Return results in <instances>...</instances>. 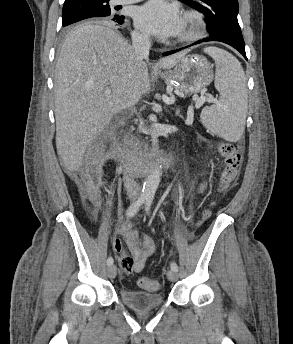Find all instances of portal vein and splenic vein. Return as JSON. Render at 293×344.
Listing matches in <instances>:
<instances>
[{
  "label": "portal vein and splenic vein",
  "mask_w": 293,
  "mask_h": 344,
  "mask_svg": "<svg viewBox=\"0 0 293 344\" xmlns=\"http://www.w3.org/2000/svg\"><path fill=\"white\" fill-rule=\"evenodd\" d=\"M105 93L110 94L111 90L106 89ZM193 100L196 101V108H200L204 104L205 101H213V98L212 97H206V96H200V97L194 96Z\"/></svg>",
  "instance_id": "portal-vein-and-splenic-vein-1"
}]
</instances>
